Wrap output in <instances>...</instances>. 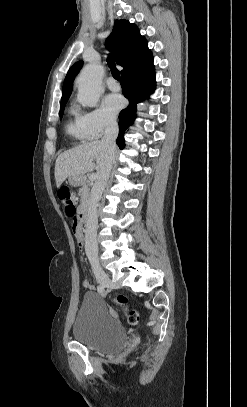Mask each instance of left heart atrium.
I'll return each mask as SVG.
<instances>
[{"instance_id":"1","label":"left heart atrium","mask_w":247,"mask_h":407,"mask_svg":"<svg viewBox=\"0 0 247 407\" xmlns=\"http://www.w3.org/2000/svg\"><path fill=\"white\" fill-rule=\"evenodd\" d=\"M103 105L109 115L115 116L122 109L124 101L120 95L110 94L105 97Z\"/></svg>"}]
</instances>
